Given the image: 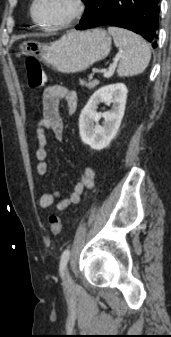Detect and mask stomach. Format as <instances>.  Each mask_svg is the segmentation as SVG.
Instances as JSON below:
<instances>
[{
  "label": "stomach",
  "instance_id": "obj_1",
  "mask_svg": "<svg viewBox=\"0 0 171 337\" xmlns=\"http://www.w3.org/2000/svg\"><path fill=\"white\" fill-rule=\"evenodd\" d=\"M19 49L21 54L36 55L56 71L77 73L108 56L111 37L104 29L71 31L50 44L24 41Z\"/></svg>",
  "mask_w": 171,
  "mask_h": 337
}]
</instances>
